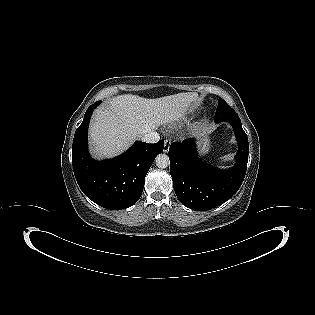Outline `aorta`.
<instances>
[{"label": "aorta", "instance_id": "762f6f07", "mask_svg": "<svg viewBox=\"0 0 315 315\" xmlns=\"http://www.w3.org/2000/svg\"><path fill=\"white\" fill-rule=\"evenodd\" d=\"M155 162L158 168H167L169 165V157L166 154H159L157 155Z\"/></svg>", "mask_w": 315, "mask_h": 315}]
</instances>
